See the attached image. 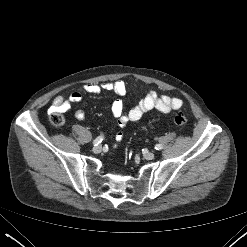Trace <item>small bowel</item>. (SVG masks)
I'll return each instance as SVG.
<instances>
[{
  "label": "small bowel",
  "mask_w": 247,
  "mask_h": 247,
  "mask_svg": "<svg viewBox=\"0 0 247 247\" xmlns=\"http://www.w3.org/2000/svg\"><path fill=\"white\" fill-rule=\"evenodd\" d=\"M83 90L89 94H99L103 90H109L121 97L126 93V84L122 80L102 84L90 83L84 85ZM81 100L82 94L79 92L72 93L68 98L58 95L54 98L50 110L51 112H64ZM182 106L183 101L180 98L162 96L155 91H149L137 105L128 111L124 110V104L121 99L115 100L111 106V113L118 120V124L123 127L129 122L139 120L148 111L157 110L163 114H169L174 110L181 109ZM84 116L85 114L82 110H78L75 113V117L78 120H82ZM117 134L122 135V133ZM116 141H118L117 138Z\"/></svg>",
  "instance_id": "small-bowel-1"
}]
</instances>
